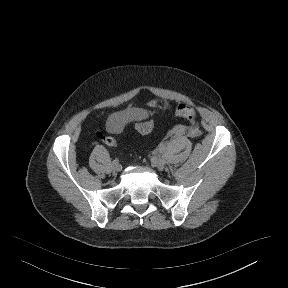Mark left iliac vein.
I'll list each match as a JSON object with an SVG mask.
<instances>
[{"mask_svg": "<svg viewBox=\"0 0 288 288\" xmlns=\"http://www.w3.org/2000/svg\"><path fill=\"white\" fill-rule=\"evenodd\" d=\"M151 165L159 170H162L165 166V161L159 157H153L151 159Z\"/></svg>", "mask_w": 288, "mask_h": 288, "instance_id": "obj_1", "label": "left iliac vein"}]
</instances>
